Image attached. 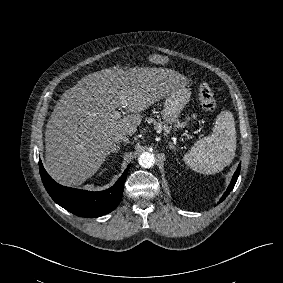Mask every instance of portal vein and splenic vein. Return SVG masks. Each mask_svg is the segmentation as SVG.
I'll list each match as a JSON object with an SVG mask.
<instances>
[{
  "instance_id": "portal-vein-and-splenic-vein-1",
  "label": "portal vein and splenic vein",
  "mask_w": 283,
  "mask_h": 283,
  "mask_svg": "<svg viewBox=\"0 0 283 283\" xmlns=\"http://www.w3.org/2000/svg\"><path fill=\"white\" fill-rule=\"evenodd\" d=\"M111 116L115 119H119V118H121V112L115 110V111L112 112Z\"/></svg>"
}]
</instances>
